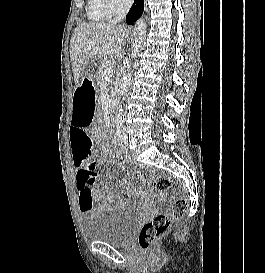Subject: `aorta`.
<instances>
[{"label":"aorta","instance_id":"762f6f07","mask_svg":"<svg viewBox=\"0 0 265 273\" xmlns=\"http://www.w3.org/2000/svg\"><path fill=\"white\" fill-rule=\"evenodd\" d=\"M146 22L144 19L140 18L137 20L134 26V42H133V55H137L141 49L143 40L146 36ZM132 71H128L124 74L119 84V89L117 92L116 108H115V123L121 125L124 121V110L122 97L128 92L131 82H132Z\"/></svg>","mask_w":265,"mask_h":273}]
</instances>
